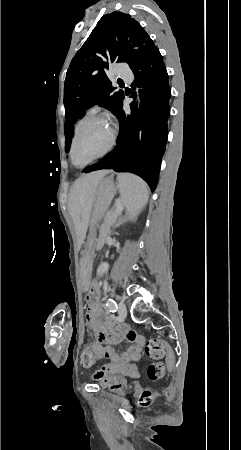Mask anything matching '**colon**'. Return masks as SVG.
Returning a JSON list of instances; mask_svg holds the SVG:
<instances>
[{
	"instance_id": "obj_1",
	"label": "colon",
	"mask_w": 241,
	"mask_h": 450,
	"mask_svg": "<svg viewBox=\"0 0 241 450\" xmlns=\"http://www.w3.org/2000/svg\"><path fill=\"white\" fill-rule=\"evenodd\" d=\"M84 350L81 353L82 356V364L84 365V369L86 371H91L93 369V365L95 364V359L93 358V351L91 350L92 345L90 343H86L84 345ZM144 352L147 356L160 360L164 356V364L161 362L153 363L147 368V377L151 380L160 379L164 373V366L167 369L172 368V366L176 363V360L173 358L176 355V352L173 350L172 345H170L167 341H161L156 338H150L144 345ZM155 395L150 389L144 390L141 397L139 398V404L142 408L149 407L154 401Z\"/></svg>"
}]
</instances>
